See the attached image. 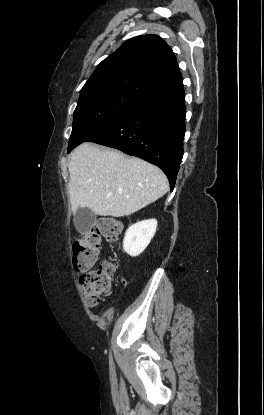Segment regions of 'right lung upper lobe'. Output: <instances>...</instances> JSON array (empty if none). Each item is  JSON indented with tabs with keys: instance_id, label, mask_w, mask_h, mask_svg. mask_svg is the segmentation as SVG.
Instances as JSON below:
<instances>
[{
	"instance_id": "cb5924a9",
	"label": "right lung upper lobe",
	"mask_w": 264,
	"mask_h": 415,
	"mask_svg": "<svg viewBox=\"0 0 264 415\" xmlns=\"http://www.w3.org/2000/svg\"><path fill=\"white\" fill-rule=\"evenodd\" d=\"M176 57L157 35L125 42L104 59L80 91V97L121 91L141 98L182 83Z\"/></svg>"
}]
</instances>
